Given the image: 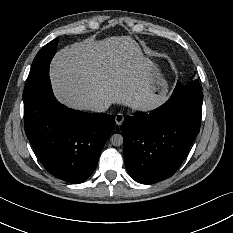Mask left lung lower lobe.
<instances>
[{
    "mask_svg": "<svg viewBox=\"0 0 233 233\" xmlns=\"http://www.w3.org/2000/svg\"><path fill=\"white\" fill-rule=\"evenodd\" d=\"M203 93L176 85L170 99L149 114L126 116L122 124L124 162L142 184L171 177L200 130Z\"/></svg>",
    "mask_w": 233,
    "mask_h": 233,
    "instance_id": "left-lung-lower-lobe-1",
    "label": "left lung lower lobe"
}]
</instances>
